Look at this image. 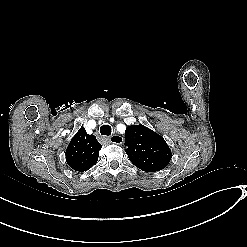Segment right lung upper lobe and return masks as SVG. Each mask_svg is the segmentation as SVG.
Segmentation results:
<instances>
[{
    "label": "right lung upper lobe",
    "mask_w": 247,
    "mask_h": 247,
    "mask_svg": "<svg viewBox=\"0 0 247 247\" xmlns=\"http://www.w3.org/2000/svg\"><path fill=\"white\" fill-rule=\"evenodd\" d=\"M100 149L101 144L96 137L87 134L84 128H80L66 149V161L75 171H86L98 161Z\"/></svg>",
    "instance_id": "cb5924a9"
}]
</instances>
